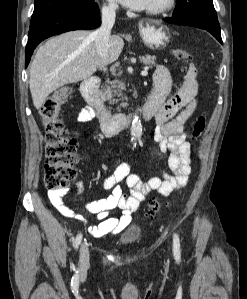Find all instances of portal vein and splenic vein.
Masks as SVG:
<instances>
[{
	"label": "portal vein and splenic vein",
	"instance_id": "1",
	"mask_svg": "<svg viewBox=\"0 0 247 299\" xmlns=\"http://www.w3.org/2000/svg\"><path fill=\"white\" fill-rule=\"evenodd\" d=\"M147 74H148V68L145 67L144 70L141 72V75L142 76H147Z\"/></svg>",
	"mask_w": 247,
	"mask_h": 299
}]
</instances>
